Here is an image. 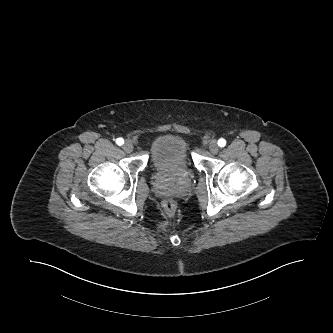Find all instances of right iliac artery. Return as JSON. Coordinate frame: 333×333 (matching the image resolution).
<instances>
[{
	"mask_svg": "<svg viewBox=\"0 0 333 333\" xmlns=\"http://www.w3.org/2000/svg\"><path fill=\"white\" fill-rule=\"evenodd\" d=\"M116 144L119 145V146H121V145L124 144V140L122 138H117L116 139Z\"/></svg>",
	"mask_w": 333,
	"mask_h": 333,
	"instance_id": "82829eb1",
	"label": "right iliac artery"
}]
</instances>
